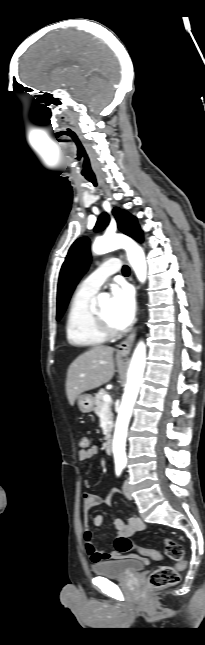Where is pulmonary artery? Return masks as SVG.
Wrapping results in <instances>:
<instances>
[{
  "mask_svg": "<svg viewBox=\"0 0 205 645\" xmlns=\"http://www.w3.org/2000/svg\"><path fill=\"white\" fill-rule=\"evenodd\" d=\"M120 269L121 263L118 259H108L81 282L78 290L95 294L106 279L112 274L120 271Z\"/></svg>",
  "mask_w": 205,
  "mask_h": 645,
  "instance_id": "e3ab8cb5",
  "label": "pulmonary artery"
}]
</instances>
